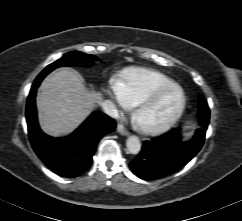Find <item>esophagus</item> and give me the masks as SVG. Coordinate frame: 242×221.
<instances>
[{
	"label": "esophagus",
	"instance_id": "1",
	"mask_svg": "<svg viewBox=\"0 0 242 221\" xmlns=\"http://www.w3.org/2000/svg\"><path fill=\"white\" fill-rule=\"evenodd\" d=\"M117 131L121 134V135H124V136H127L129 134V132L123 127L122 124H119L117 126Z\"/></svg>",
	"mask_w": 242,
	"mask_h": 221
}]
</instances>
